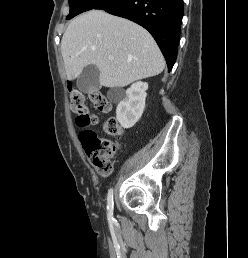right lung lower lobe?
Here are the masks:
<instances>
[{
  "label": "right lung lower lobe",
  "instance_id": "98d812e1",
  "mask_svg": "<svg viewBox=\"0 0 248 258\" xmlns=\"http://www.w3.org/2000/svg\"><path fill=\"white\" fill-rule=\"evenodd\" d=\"M147 29L161 49L170 71L177 57L183 17V0H112L101 6Z\"/></svg>",
  "mask_w": 248,
  "mask_h": 258
}]
</instances>
